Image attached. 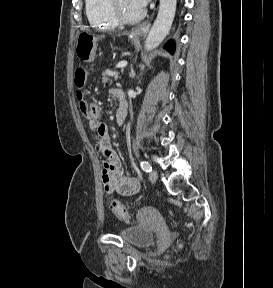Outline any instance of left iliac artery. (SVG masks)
<instances>
[{
    "label": "left iliac artery",
    "mask_w": 273,
    "mask_h": 288,
    "mask_svg": "<svg viewBox=\"0 0 273 288\" xmlns=\"http://www.w3.org/2000/svg\"><path fill=\"white\" fill-rule=\"evenodd\" d=\"M141 169L145 172H151L152 167L147 161H141L140 162Z\"/></svg>",
    "instance_id": "left-iliac-artery-1"
}]
</instances>
